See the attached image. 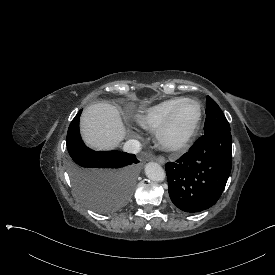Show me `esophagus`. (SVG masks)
Returning <instances> with one entry per match:
<instances>
[{
    "label": "esophagus",
    "instance_id": "esophagus-1",
    "mask_svg": "<svg viewBox=\"0 0 275 275\" xmlns=\"http://www.w3.org/2000/svg\"><path fill=\"white\" fill-rule=\"evenodd\" d=\"M156 161L159 163V164H165L166 162V159L163 157V156H159Z\"/></svg>",
    "mask_w": 275,
    "mask_h": 275
}]
</instances>
